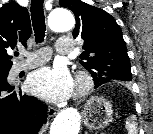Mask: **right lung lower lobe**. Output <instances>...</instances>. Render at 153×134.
<instances>
[{"instance_id": "1", "label": "right lung lower lobe", "mask_w": 153, "mask_h": 134, "mask_svg": "<svg viewBox=\"0 0 153 134\" xmlns=\"http://www.w3.org/2000/svg\"><path fill=\"white\" fill-rule=\"evenodd\" d=\"M13 89L7 77H0V134H37L46 122V106Z\"/></svg>"}]
</instances>
